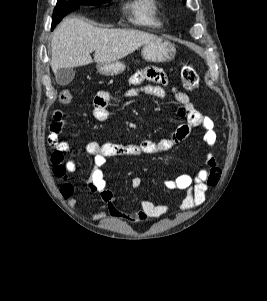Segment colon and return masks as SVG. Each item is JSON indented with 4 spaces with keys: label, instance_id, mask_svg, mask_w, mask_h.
Instances as JSON below:
<instances>
[{
    "label": "colon",
    "instance_id": "colon-1",
    "mask_svg": "<svg viewBox=\"0 0 267 301\" xmlns=\"http://www.w3.org/2000/svg\"><path fill=\"white\" fill-rule=\"evenodd\" d=\"M181 82L185 89L193 90L199 85V76L191 64H186L181 69ZM59 101L68 104L72 101V94L69 90L64 89L59 94Z\"/></svg>",
    "mask_w": 267,
    "mask_h": 301
}]
</instances>
